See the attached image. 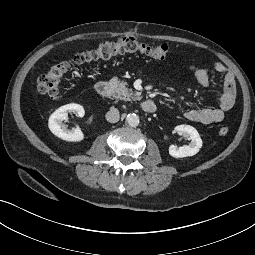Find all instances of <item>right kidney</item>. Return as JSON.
Here are the masks:
<instances>
[{
    "mask_svg": "<svg viewBox=\"0 0 255 255\" xmlns=\"http://www.w3.org/2000/svg\"><path fill=\"white\" fill-rule=\"evenodd\" d=\"M73 111H76L79 117H83L85 115L83 106L75 103L67 104L52 113L49 118L48 127L58 138L70 142H79L84 139V134L80 128L77 127L72 130H67L66 126L62 124V121L67 119V112Z\"/></svg>",
    "mask_w": 255,
    "mask_h": 255,
    "instance_id": "right-kidney-1",
    "label": "right kidney"
}]
</instances>
